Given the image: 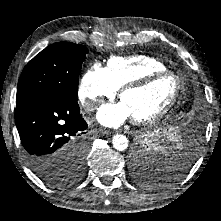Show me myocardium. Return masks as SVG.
<instances>
[{
  "mask_svg": "<svg viewBox=\"0 0 221 221\" xmlns=\"http://www.w3.org/2000/svg\"><path fill=\"white\" fill-rule=\"evenodd\" d=\"M165 76H170V77L174 78V80L176 82V89H175V92H174L171 100L165 105V107L163 109H161L159 112H157L156 114H154L150 117L140 118V119L139 118H132V122L134 124H136V125H151V124H154V123L160 121L162 118H164L173 109V107L177 103L178 98H179V96L182 92V89H183V82H182L181 78L176 73L169 71V70H165V71H158V72H153V73L147 74L138 80L128 82V83L124 84L122 87H120L118 97L121 100V97L126 92L142 89V88L148 86L153 81H155L159 78L165 77Z\"/></svg>",
  "mask_w": 221,
  "mask_h": 221,
  "instance_id": "1",
  "label": "myocardium"
}]
</instances>
